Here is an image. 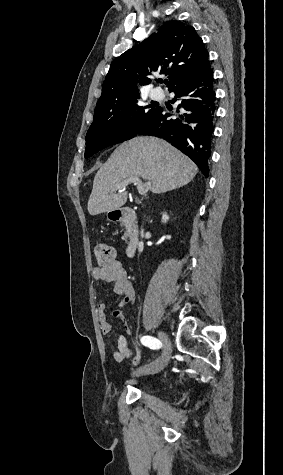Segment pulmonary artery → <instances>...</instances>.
<instances>
[{
	"mask_svg": "<svg viewBox=\"0 0 283 475\" xmlns=\"http://www.w3.org/2000/svg\"><path fill=\"white\" fill-rule=\"evenodd\" d=\"M151 94L153 96H160L162 94V89L160 87H153L151 89Z\"/></svg>",
	"mask_w": 283,
	"mask_h": 475,
	"instance_id": "obj_1",
	"label": "pulmonary artery"
}]
</instances>
